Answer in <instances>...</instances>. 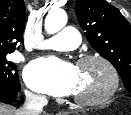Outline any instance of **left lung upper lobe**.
<instances>
[{
  "label": "left lung upper lobe",
  "mask_w": 131,
  "mask_h": 115,
  "mask_svg": "<svg viewBox=\"0 0 131 115\" xmlns=\"http://www.w3.org/2000/svg\"><path fill=\"white\" fill-rule=\"evenodd\" d=\"M75 13L91 46L111 62L131 92V26L105 0H76ZM131 97V94L127 95Z\"/></svg>",
  "instance_id": "5c2ea615"
}]
</instances>
